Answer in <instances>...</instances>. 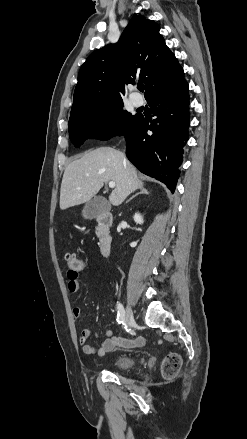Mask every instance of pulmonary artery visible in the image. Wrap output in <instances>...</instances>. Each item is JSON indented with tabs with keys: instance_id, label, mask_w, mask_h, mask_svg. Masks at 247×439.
I'll use <instances>...</instances> for the list:
<instances>
[{
	"instance_id": "e3ab8cb5",
	"label": "pulmonary artery",
	"mask_w": 247,
	"mask_h": 439,
	"mask_svg": "<svg viewBox=\"0 0 247 439\" xmlns=\"http://www.w3.org/2000/svg\"><path fill=\"white\" fill-rule=\"evenodd\" d=\"M131 101L135 106H140L142 104V99L137 96H131Z\"/></svg>"
}]
</instances>
